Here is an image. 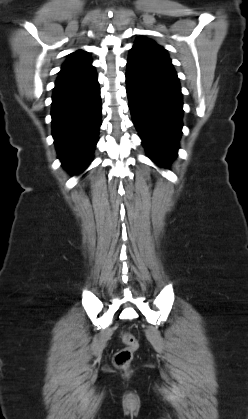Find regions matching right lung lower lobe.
I'll return each instance as SVG.
<instances>
[{
	"label": "right lung lower lobe",
	"instance_id": "obj_1",
	"mask_svg": "<svg viewBox=\"0 0 248 419\" xmlns=\"http://www.w3.org/2000/svg\"><path fill=\"white\" fill-rule=\"evenodd\" d=\"M101 111L99 83L91 62L59 74L52 95V135L58 158L73 175L92 161Z\"/></svg>",
	"mask_w": 248,
	"mask_h": 419
}]
</instances>
